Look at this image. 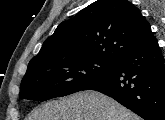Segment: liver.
Here are the masks:
<instances>
[{
    "label": "liver",
    "mask_w": 165,
    "mask_h": 120,
    "mask_svg": "<svg viewBox=\"0 0 165 120\" xmlns=\"http://www.w3.org/2000/svg\"><path fill=\"white\" fill-rule=\"evenodd\" d=\"M28 120H140L114 99L96 91H82L42 104Z\"/></svg>",
    "instance_id": "6515ba94"
}]
</instances>
